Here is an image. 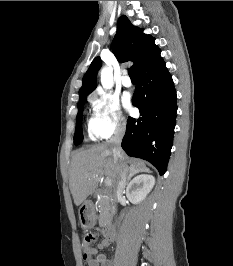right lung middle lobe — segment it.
Wrapping results in <instances>:
<instances>
[{
    "mask_svg": "<svg viewBox=\"0 0 233 266\" xmlns=\"http://www.w3.org/2000/svg\"><path fill=\"white\" fill-rule=\"evenodd\" d=\"M85 98L79 99V102H78V114H77L76 129H75V134H74V140H75L74 143L76 145L80 144L83 140L82 116H83V106H84Z\"/></svg>",
    "mask_w": 233,
    "mask_h": 266,
    "instance_id": "dd1d6c3e",
    "label": "right lung middle lobe"
}]
</instances>
